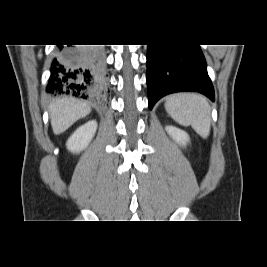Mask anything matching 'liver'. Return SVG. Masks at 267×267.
Returning a JSON list of instances; mask_svg holds the SVG:
<instances>
[{
	"instance_id": "6515ba94",
	"label": "liver",
	"mask_w": 267,
	"mask_h": 267,
	"mask_svg": "<svg viewBox=\"0 0 267 267\" xmlns=\"http://www.w3.org/2000/svg\"><path fill=\"white\" fill-rule=\"evenodd\" d=\"M91 112L88 103L72 97L56 99L49 106L51 126L54 134L65 132L70 126Z\"/></svg>"
}]
</instances>
